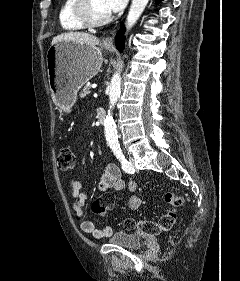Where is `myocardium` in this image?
Listing matches in <instances>:
<instances>
[{
  "label": "myocardium",
  "instance_id": "1",
  "mask_svg": "<svg viewBox=\"0 0 240 281\" xmlns=\"http://www.w3.org/2000/svg\"><path fill=\"white\" fill-rule=\"evenodd\" d=\"M75 17L86 27H99L111 21L110 13L99 15L93 5V0H75L73 7Z\"/></svg>",
  "mask_w": 240,
  "mask_h": 281
}]
</instances>
